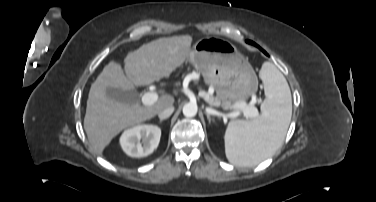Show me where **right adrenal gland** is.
Listing matches in <instances>:
<instances>
[{"instance_id": "right-adrenal-gland-1", "label": "right adrenal gland", "mask_w": 376, "mask_h": 202, "mask_svg": "<svg viewBox=\"0 0 376 202\" xmlns=\"http://www.w3.org/2000/svg\"><path fill=\"white\" fill-rule=\"evenodd\" d=\"M159 122H160V123H162V122H163V120H162V119H160V120H159Z\"/></svg>"}]
</instances>
